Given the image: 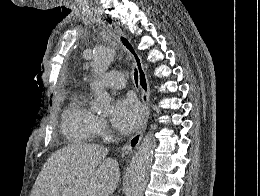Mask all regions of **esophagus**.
Returning <instances> with one entry per match:
<instances>
[{"instance_id": "obj_1", "label": "esophagus", "mask_w": 260, "mask_h": 196, "mask_svg": "<svg viewBox=\"0 0 260 196\" xmlns=\"http://www.w3.org/2000/svg\"><path fill=\"white\" fill-rule=\"evenodd\" d=\"M117 38L121 43V45L123 46V48H125V50L129 53V55H131V57L134 60L135 67L138 72V83L142 93L141 100L144 107V114H143L140 127L136 131L135 135L132 136V138H130L129 141L125 145H123L119 150L121 156H127L129 154H132L135 151V149L139 146L140 141L142 140L143 137V133L147 126V121L150 113V106H149L150 86H149L147 74L144 69L142 60L138 55L137 51L135 50L134 45L131 43V41L126 37V35L123 32H119Z\"/></svg>"}]
</instances>
